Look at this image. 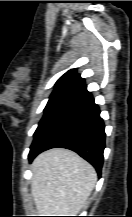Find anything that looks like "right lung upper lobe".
I'll use <instances>...</instances> for the list:
<instances>
[{
	"label": "right lung upper lobe",
	"mask_w": 132,
	"mask_h": 217,
	"mask_svg": "<svg viewBox=\"0 0 132 217\" xmlns=\"http://www.w3.org/2000/svg\"><path fill=\"white\" fill-rule=\"evenodd\" d=\"M53 93L70 94L76 98L90 94L86 89L84 79L76 73V69L69 70L59 78Z\"/></svg>",
	"instance_id": "right-lung-upper-lobe-1"
}]
</instances>
